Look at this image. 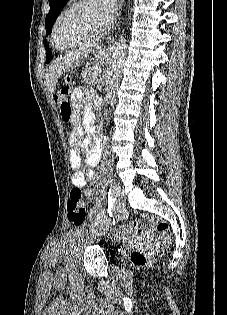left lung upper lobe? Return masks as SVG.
<instances>
[{
  "label": "left lung upper lobe",
  "instance_id": "5c2ea615",
  "mask_svg": "<svg viewBox=\"0 0 227 315\" xmlns=\"http://www.w3.org/2000/svg\"><path fill=\"white\" fill-rule=\"evenodd\" d=\"M67 2L68 0H49L50 11L46 16V21H45V28H46L47 35L51 33L52 26L56 18L58 17L59 13L62 11V9L64 8ZM44 45H45L46 53H47L46 63H48L52 59V52L47 47L46 41H44Z\"/></svg>",
  "mask_w": 227,
  "mask_h": 315
}]
</instances>
